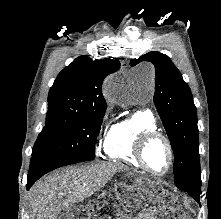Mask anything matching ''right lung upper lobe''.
<instances>
[{"instance_id": "obj_1", "label": "right lung upper lobe", "mask_w": 221, "mask_h": 219, "mask_svg": "<svg viewBox=\"0 0 221 219\" xmlns=\"http://www.w3.org/2000/svg\"><path fill=\"white\" fill-rule=\"evenodd\" d=\"M119 67L116 59L93 61L87 56L76 58L54 81L48 95V108L62 107L85 112L106 110L102 82Z\"/></svg>"}]
</instances>
